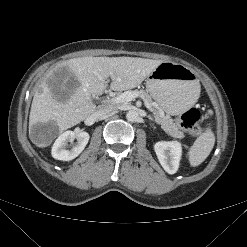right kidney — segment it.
Segmentation results:
<instances>
[{
	"mask_svg": "<svg viewBox=\"0 0 247 247\" xmlns=\"http://www.w3.org/2000/svg\"><path fill=\"white\" fill-rule=\"evenodd\" d=\"M89 138V134L85 131H66L62 133L53 144V158L63 161H70L76 158L86 147ZM74 139H77V142L72 146L71 149H66L68 142L72 143Z\"/></svg>",
	"mask_w": 247,
	"mask_h": 247,
	"instance_id": "1",
	"label": "right kidney"
}]
</instances>
